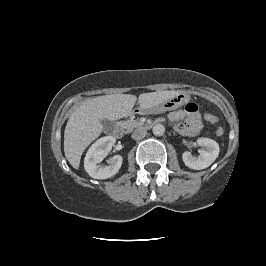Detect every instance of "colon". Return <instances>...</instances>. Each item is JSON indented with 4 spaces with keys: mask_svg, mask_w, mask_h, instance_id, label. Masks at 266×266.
<instances>
[{
    "mask_svg": "<svg viewBox=\"0 0 266 266\" xmlns=\"http://www.w3.org/2000/svg\"><path fill=\"white\" fill-rule=\"evenodd\" d=\"M204 118L209 124H215L217 122V117L215 115H213V114H210V113L205 114ZM223 133H224V129L223 128L218 127L216 129V134L218 136L223 135Z\"/></svg>",
    "mask_w": 266,
    "mask_h": 266,
    "instance_id": "5ec220e1",
    "label": "colon"
}]
</instances>
